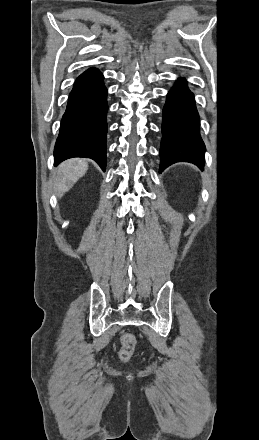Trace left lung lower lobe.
<instances>
[{
    "instance_id": "left-lung-lower-lobe-1",
    "label": "left lung lower lobe",
    "mask_w": 259,
    "mask_h": 440,
    "mask_svg": "<svg viewBox=\"0 0 259 440\" xmlns=\"http://www.w3.org/2000/svg\"><path fill=\"white\" fill-rule=\"evenodd\" d=\"M200 120L193 93L180 79L167 95L163 109L160 173L176 162L204 166L205 145L200 137Z\"/></svg>"
}]
</instances>
